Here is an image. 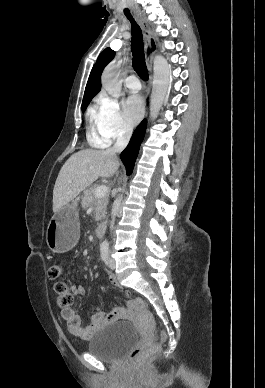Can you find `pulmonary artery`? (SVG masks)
<instances>
[{"label": "pulmonary artery", "instance_id": "e3ab8cb5", "mask_svg": "<svg viewBox=\"0 0 265 388\" xmlns=\"http://www.w3.org/2000/svg\"><path fill=\"white\" fill-rule=\"evenodd\" d=\"M126 82H128L129 92L131 94H140L139 79L135 75H126Z\"/></svg>", "mask_w": 265, "mask_h": 388}]
</instances>
